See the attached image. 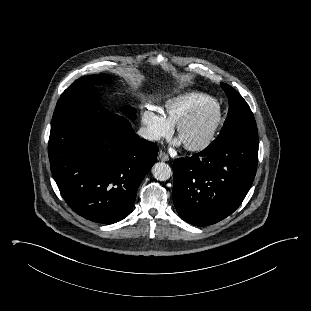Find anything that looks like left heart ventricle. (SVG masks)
<instances>
[{"instance_id": "obj_1", "label": "left heart ventricle", "mask_w": 311, "mask_h": 311, "mask_svg": "<svg viewBox=\"0 0 311 311\" xmlns=\"http://www.w3.org/2000/svg\"><path fill=\"white\" fill-rule=\"evenodd\" d=\"M213 121V110L209 109L188 125L179 139L184 144L198 143L207 135Z\"/></svg>"}]
</instances>
